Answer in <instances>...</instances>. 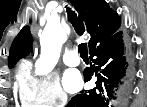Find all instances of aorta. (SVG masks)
Here are the masks:
<instances>
[{"label":"aorta","mask_w":147,"mask_h":107,"mask_svg":"<svg viewBox=\"0 0 147 107\" xmlns=\"http://www.w3.org/2000/svg\"><path fill=\"white\" fill-rule=\"evenodd\" d=\"M65 40L66 34L62 26L58 22H50L40 38L41 54L35 63L37 74L42 75L53 70Z\"/></svg>","instance_id":"1"}]
</instances>
